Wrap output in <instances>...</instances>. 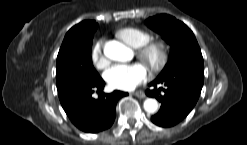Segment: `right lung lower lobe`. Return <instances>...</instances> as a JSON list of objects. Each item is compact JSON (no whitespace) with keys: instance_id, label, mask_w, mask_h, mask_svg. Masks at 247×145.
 I'll return each instance as SVG.
<instances>
[{"instance_id":"obj_1","label":"right lung lower lobe","mask_w":247,"mask_h":145,"mask_svg":"<svg viewBox=\"0 0 247 145\" xmlns=\"http://www.w3.org/2000/svg\"><path fill=\"white\" fill-rule=\"evenodd\" d=\"M104 81L80 82L58 91L61 105L71 122L87 133H97L109 128L115 120L117 101L128 93L114 91L101 93ZM97 90L98 99L92 94Z\"/></svg>"}]
</instances>
